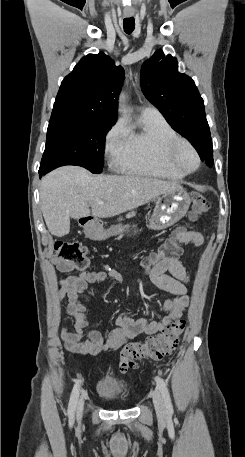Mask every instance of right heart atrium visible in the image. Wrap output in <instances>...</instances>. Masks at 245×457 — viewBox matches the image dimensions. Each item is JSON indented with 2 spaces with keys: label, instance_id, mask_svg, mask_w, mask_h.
Wrapping results in <instances>:
<instances>
[{
  "label": "right heart atrium",
  "instance_id": "obj_1",
  "mask_svg": "<svg viewBox=\"0 0 245 457\" xmlns=\"http://www.w3.org/2000/svg\"><path fill=\"white\" fill-rule=\"evenodd\" d=\"M125 140V127L122 119H117L105 135V146L109 153H113Z\"/></svg>",
  "mask_w": 245,
  "mask_h": 457
}]
</instances>
